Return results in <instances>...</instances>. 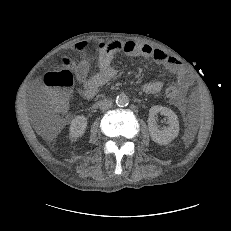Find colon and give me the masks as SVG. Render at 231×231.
I'll use <instances>...</instances> for the list:
<instances>
[{
  "mask_svg": "<svg viewBox=\"0 0 231 231\" xmlns=\"http://www.w3.org/2000/svg\"><path fill=\"white\" fill-rule=\"evenodd\" d=\"M43 81L50 109L57 114L65 113L69 106L70 90L74 83L72 73L68 70L51 71L45 74ZM164 93L169 100H176L179 97V90L173 84L166 85Z\"/></svg>",
  "mask_w": 231,
  "mask_h": 231,
  "instance_id": "1",
  "label": "colon"
}]
</instances>
